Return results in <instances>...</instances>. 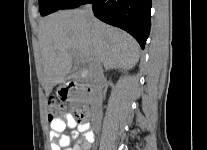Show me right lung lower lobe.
Returning <instances> with one entry per match:
<instances>
[{
  "instance_id": "obj_1",
  "label": "right lung lower lobe",
  "mask_w": 207,
  "mask_h": 150,
  "mask_svg": "<svg viewBox=\"0 0 207 150\" xmlns=\"http://www.w3.org/2000/svg\"><path fill=\"white\" fill-rule=\"evenodd\" d=\"M85 3H92L98 19L129 32L144 49L151 26V0H67L60 9Z\"/></svg>"
}]
</instances>
